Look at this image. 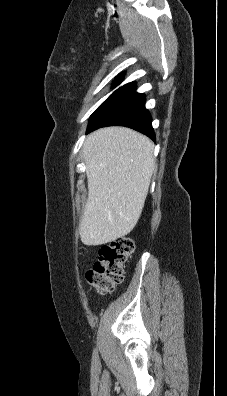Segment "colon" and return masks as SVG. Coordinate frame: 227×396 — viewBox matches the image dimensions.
<instances>
[{
	"instance_id": "5ec220e1",
	"label": "colon",
	"mask_w": 227,
	"mask_h": 396,
	"mask_svg": "<svg viewBox=\"0 0 227 396\" xmlns=\"http://www.w3.org/2000/svg\"><path fill=\"white\" fill-rule=\"evenodd\" d=\"M134 251V241L120 237L99 249L98 260L86 278L88 283L101 294L112 292L124 278V265Z\"/></svg>"
}]
</instances>
